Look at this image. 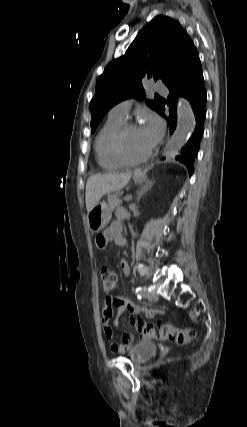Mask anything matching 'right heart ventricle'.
Returning <instances> with one entry per match:
<instances>
[{
    "label": "right heart ventricle",
    "instance_id": "obj_1",
    "mask_svg": "<svg viewBox=\"0 0 247 427\" xmlns=\"http://www.w3.org/2000/svg\"><path fill=\"white\" fill-rule=\"evenodd\" d=\"M123 124V119L109 115L95 137L94 151L96 161L104 170L113 171L125 166L116 158L112 147L113 139Z\"/></svg>",
    "mask_w": 247,
    "mask_h": 427
}]
</instances>
